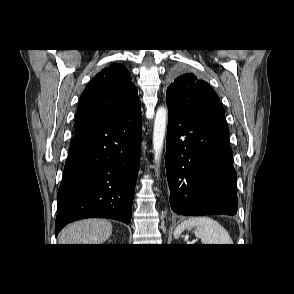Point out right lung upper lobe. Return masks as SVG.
Returning a JSON list of instances; mask_svg holds the SVG:
<instances>
[{
  "instance_id": "obj_1",
  "label": "right lung upper lobe",
  "mask_w": 294,
  "mask_h": 294,
  "mask_svg": "<svg viewBox=\"0 0 294 294\" xmlns=\"http://www.w3.org/2000/svg\"><path fill=\"white\" fill-rule=\"evenodd\" d=\"M130 72L121 64L103 69L85 88L77 109L75 128L111 120L139 103Z\"/></svg>"
}]
</instances>
